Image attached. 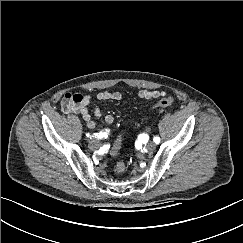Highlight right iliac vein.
I'll return each mask as SVG.
<instances>
[{
	"label": "right iliac vein",
	"instance_id": "1",
	"mask_svg": "<svg viewBox=\"0 0 243 243\" xmlns=\"http://www.w3.org/2000/svg\"><path fill=\"white\" fill-rule=\"evenodd\" d=\"M99 146H100V144L96 140H93L89 143V148L92 150L99 148Z\"/></svg>",
	"mask_w": 243,
	"mask_h": 243
}]
</instances>
